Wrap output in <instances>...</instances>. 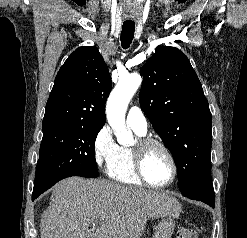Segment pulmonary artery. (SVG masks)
I'll return each instance as SVG.
<instances>
[{
	"label": "pulmonary artery",
	"instance_id": "e3ab8cb5",
	"mask_svg": "<svg viewBox=\"0 0 247 238\" xmlns=\"http://www.w3.org/2000/svg\"><path fill=\"white\" fill-rule=\"evenodd\" d=\"M127 124L139 132L146 133L147 131V120L142 110L138 106H132L126 116Z\"/></svg>",
	"mask_w": 247,
	"mask_h": 238
}]
</instances>
